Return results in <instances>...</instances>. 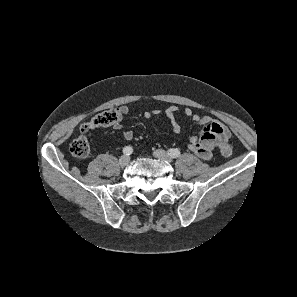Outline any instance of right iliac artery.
Instances as JSON below:
<instances>
[{"label": "right iliac artery", "mask_w": 297, "mask_h": 297, "mask_svg": "<svg viewBox=\"0 0 297 297\" xmlns=\"http://www.w3.org/2000/svg\"><path fill=\"white\" fill-rule=\"evenodd\" d=\"M133 148L131 146H126L123 148V154L129 156L132 154Z\"/></svg>", "instance_id": "obj_1"}]
</instances>
